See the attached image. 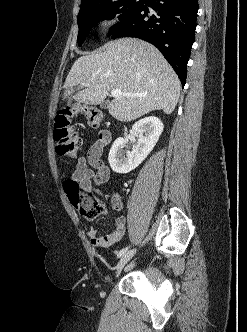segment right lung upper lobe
Masks as SVG:
<instances>
[{
  "label": "right lung upper lobe",
  "instance_id": "right-lung-upper-lobe-1",
  "mask_svg": "<svg viewBox=\"0 0 247 332\" xmlns=\"http://www.w3.org/2000/svg\"><path fill=\"white\" fill-rule=\"evenodd\" d=\"M102 0H82L80 10L85 9L95 3H98Z\"/></svg>",
  "mask_w": 247,
  "mask_h": 332
}]
</instances>
